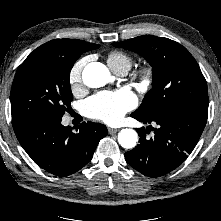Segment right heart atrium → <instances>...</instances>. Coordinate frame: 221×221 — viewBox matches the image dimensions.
I'll return each instance as SVG.
<instances>
[{
	"mask_svg": "<svg viewBox=\"0 0 221 221\" xmlns=\"http://www.w3.org/2000/svg\"><path fill=\"white\" fill-rule=\"evenodd\" d=\"M85 62V59L78 60L69 71L68 80L73 93H77L82 87V71Z\"/></svg>",
	"mask_w": 221,
	"mask_h": 221,
	"instance_id": "d8ad5b80",
	"label": "right heart atrium"
}]
</instances>
